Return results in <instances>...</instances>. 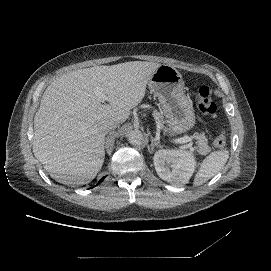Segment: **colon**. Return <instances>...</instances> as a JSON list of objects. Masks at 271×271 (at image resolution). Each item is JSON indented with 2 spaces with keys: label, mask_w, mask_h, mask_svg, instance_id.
Wrapping results in <instances>:
<instances>
[{
  "label": "colon",
  "mask_w": 271,
  "mask_h": 271,
  "mask_svg": "<svg viewBox=\"0 0 271 271\" xmlns=\"http://www.w3.org/2000/svg\"><path fill=\"white\" fill-rule=\"evenodd\" d=\"M195 101L201 113L209 117L216 116L217 107L213 100L211 90L208 86L203 85L197 89ZM226 142L227 140L224 131H221L214 140L215 146L220 149L226 146Z\"/></svg>",
  "instance_id": "5ec220e1"
}]
</instances>
